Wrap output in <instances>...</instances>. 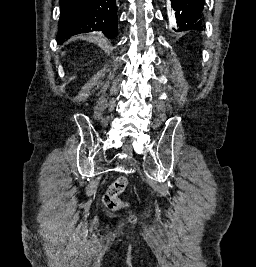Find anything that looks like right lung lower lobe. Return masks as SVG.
<instances>
[{
    "label": "right lung lower lobe",
    "instance_id": "right-lung-lower-lobe-1",
    "mask_svg": "<svg viewBox=\"0 0 256 267\" xmlns=\"http://www.w3.org/2000/svg\"><path fill=\"white\" fill-rule=\"evenodd\" d=\"M61 15L57 41L89 31H102L109 38L117 34L115 0H59Z\"/></svg>",
    "mask_w": 256,
    "mask_h": 267
}]
</instances>
